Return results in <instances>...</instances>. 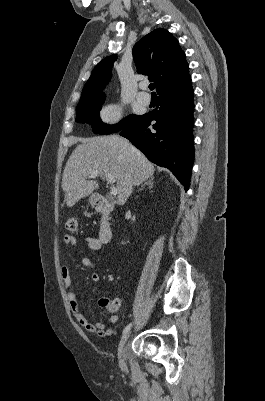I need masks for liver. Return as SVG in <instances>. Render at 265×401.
<instances>
[{
  "mask_svg": "<svg viewBox=\"0 0 265 401\" xmlns=\"http://www.w3.org/2000/svg\"><path fill=\"white\" fill-rule=\"evenodd\" d=\"M78 140L81 144L69 156L62 178L67 207H74L80 198L99 188V182L87 180L92 170H99L98 176L112 174L116 178L118 205L126 203L128 186H138L154 174V164L123 136L110 134Z\"/></svg>",
  "mask_w": 265,
  "mask_h": 401,
  "instance_id": "liver-1",
  "label": "liver"
}]
</instances>
